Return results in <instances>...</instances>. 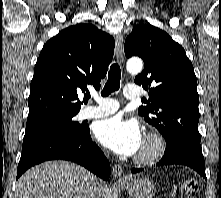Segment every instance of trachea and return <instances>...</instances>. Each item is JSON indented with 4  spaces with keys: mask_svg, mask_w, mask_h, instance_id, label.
<instances>
[{
    "mask_svg": "<svg viewBox=\"0 0 221 198\" xmlns=\"http://www.w3.org/2000/svg\"><path fill=\"white\" fill-rule=\"evenodd\" d=\"M120 80H121L120 66L117 63H113L110 67L108 73V80L103 88V91L101 92V95L103 97H106L112 92L118 91L120 88ZM87 97L90 98V94H88Z\"/></svg>",
    "mask_w": 221,
    "mask_h": 198,
    "instance_id": "trachea-1",
    "label": "trachea"
}]
</instances>
